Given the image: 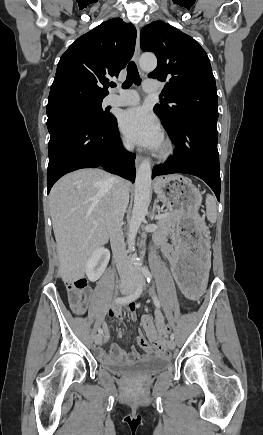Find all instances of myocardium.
<instances>
[{
	"label": "myocardium",
	"mask_w": 263,
	"mask_h": 435,
	"mask_svg": "<svg viewBox=\"0 0 263 435\" xmlns=\"http://www.w3.org/2000/svg\"><path fill=\"white\" fill-rule=\"evenodd\" d=\"M174 152V146L169 139L163 141L159 149L155 153V157L160 160L168 159Z\"/></svg>",
	"instance_id": "1"
}]
</instances>
